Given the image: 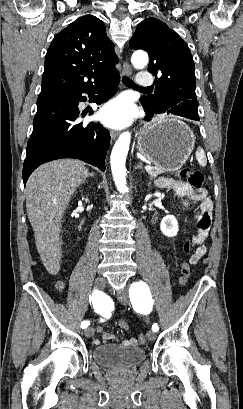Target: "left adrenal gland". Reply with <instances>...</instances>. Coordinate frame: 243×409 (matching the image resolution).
Segmentation results:
<instances>
[{"label": "left adrenal gland", "instance_id": "obj_1", "mask_svg": "<svg viewBox=\"0 0 243 409\" xmlns=\"http://www.w3.org/2000/svg\"><path fill=\"white\" fill-rule=\"evenodd\" d=\"M135 169H141L143 171L142 163L137 164Z\"/></svg>", "mask_w": 243, "mask_h": 409}]
</instances>
